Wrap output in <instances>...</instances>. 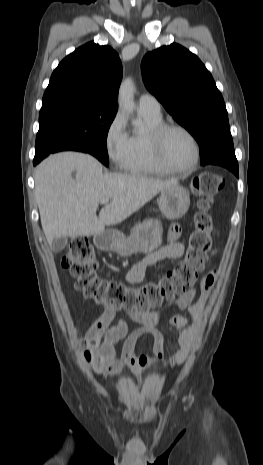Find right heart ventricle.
Returning <instances> with one entry per match:
<instances>
[{"label": "right heart ventricle", "instance_id": "obj_1", "mask_svg": "<svg viewBox=\"0 0 263 465\" xmlns=\"http://www.w3.org/2000/svg\"><path fill=\"white\" fill-rule=\"evenodd\" d=\"M146 123L144 132L129 136V151L125 170L132 174H167L155 161L149 142V132L163 123L162 117L141 114Z\"/></svg>", "mask_w": 263, "mask_h": 465}]
</instances>
